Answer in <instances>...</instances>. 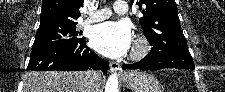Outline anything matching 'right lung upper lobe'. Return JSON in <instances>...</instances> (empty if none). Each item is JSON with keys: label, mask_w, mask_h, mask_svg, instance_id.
Here are the masks:
<instances>
[{"label": "right lung upper lobe", "mask_w": 225, "mask_h": 92, "mask_svg": "<svg viewBox=\"0 0 225 92\" xmlns=\"http://www.w3.org/2000/svg\"><path fill=\"white\" fill-rule=\"evenodd\" d=\"M84 0H42L40 25L52 22L73 23L81 14Z\"/></svg>", "instance_id": "right-lung-upper-lobe-1"}]
</instances>
